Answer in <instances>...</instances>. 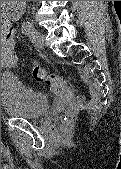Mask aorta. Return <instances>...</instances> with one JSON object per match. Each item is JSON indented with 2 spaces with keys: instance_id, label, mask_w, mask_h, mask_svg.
Instances as JSON below:
<instances>
[{
  "instance_id": "762f6f07",
  "label": "aorta",
  "mask_w": 121,
  "mask_h": 169,
  "mask_svg": "<svg viewBox=\"0 0 121 169\" xmlns=\"http://www.w3.org/2000/svg\"><path fill=\"white\" fill-rule=\"evenodd\" d=\"M25 5L26 1H1V9L10 13H21Z\"/></svg>"
}]
</instances>
